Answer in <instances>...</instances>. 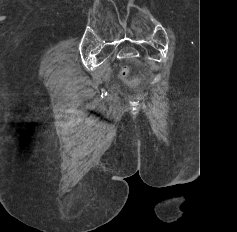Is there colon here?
Masks as SVG:
<instances>
[{
  "instance_id": "5ec220e1",
  "label": "colon",
  "mask_w": 237,
  "mask_h": 232,
  "mask_svg": "<svg viewBox=\"0 0 237 232\" xmlns=\"http://www.w3.org/2000/svg\"><path fill=\"white\" fill-rule=\"evenodd\" d=\"M127 74V71L126 70H123L122 71V75L125 76Z\"/></svg>"
}]
</instances>
